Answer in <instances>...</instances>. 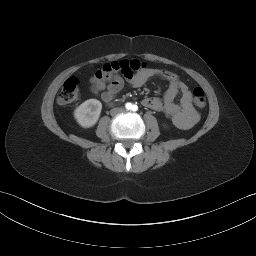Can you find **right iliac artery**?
<instances>
[{
  "label": "right iliac artery",
  "mask_w": 256,
  "mask_h": 256,
  "mask_svg": "<svg viewBox=\"0 0 256 256\" xmlns=\"http://www.w3.org/2000/svg\"><path fill=\"white\" fill-rule=\"evenodd\" d=\"M125 107H126V109L130 110L132 108V104L131 103H126Z\"/></svg>",
  "instance_id": "82829eb1"
}]
</instances>
